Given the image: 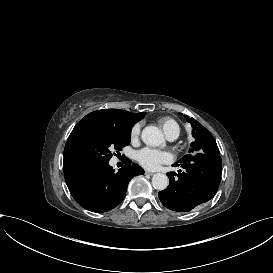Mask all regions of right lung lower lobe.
<instances>
[{"mask_svg":"<svg viewBox=\"0 0 273 273\" xmlns=\"http://www.w3.org/2000/svg\"><path fill=\"white\" fill-rule=\"evenodd\" d=\"M144 174L136 164L127 163L117 173L109 162L88 164L64 173L68 189L83 208L92 212H106L115 208L125 197L129 181Z\"/></svg>","mask_w":273,"mask_h":273,"instance_id":"98d812e1","label":"right lung lower lobe"}]
</instances>
